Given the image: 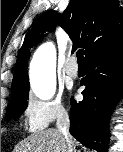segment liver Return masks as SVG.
<instances>
[{"label": "liver", "mask_w": 123, "mask_h": 152, "mask_svg": "<svg viewBox=\"0 0 123 152\" xmlns=\"http://www.w3.org/2000/svg\"><path fill=\"white\" fill-rule=\"evenodd\" d=\"M72 140L75 148L77 142ZM67 144L57 129L33 133L21 141L13 152H67Z\"/></svg>", "instance_id": "liver-1"}]
</instances>
